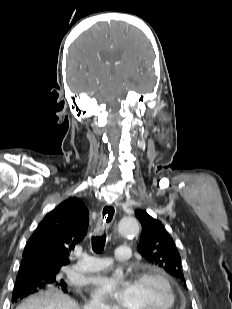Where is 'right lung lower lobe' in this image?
Segmentation results:
<instances>
[{
  "label": "right lung lower lobe",
  "mask_w": 232,
  "mask_h": 309,
  "mask_svg": "<svg viewBox=\"0 0 232 309\" xmlns=\"http://www.w3.org/2000/svg\"><path fill=\"white\" fill-rule=\"evenodd\" d=\"M40 289H44L38 281L31 283L15 284L13 289L12 301L16 302L17 299L25 297L31 293L37 292ZM64 292H67L66 288H63Z\"/></svg>",
  "instance_id": "98d812e1"
}]
</instances>
